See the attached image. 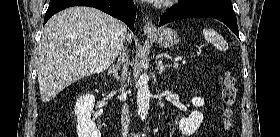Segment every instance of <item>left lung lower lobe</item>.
I'll use <instances>...</instances> for the list:
<instances>
[{"label":"left lung lower lobe","mask_w":280,"mask_h":137,"mask_svg":"<svg viewBox=\"0 0 280 137\" xmlns=\"http://www.w3.org/2000/svg\"><path fill=\"white\" fill-rule=\"evenodd\" d=\"M215 18L226 24L239 37L236 15L231 0H199L169 8L161 17L159 26L183 18Z\"/></svg>","instance_id":"1"}]
</instances>
